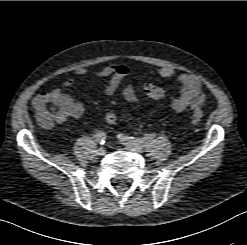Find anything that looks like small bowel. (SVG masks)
Instances as JSON below:
<instances>
[{"label": "small bowel", "instance_id": "small-bowel-1", "mask_svg": "<svg viewBox=\"0 0 247 245\" xmlns=\"http://www.w3.org/2000/svg\"><path fill=\"white\" fill-rule=\"evenodd\" d=\"M150 73L162 78L174 77L181 84V90L178 96L172 101V108L177 113H183L188 110L195 109L204 103L205 94L202 90V84L195 75L190 73H177V71L171 67L152 69L150 70ZM75 74L79 76L92 74L98 77H108L109 80L103 88L105 95H113L122 85V92L125 99L135 105L139 103V96L137 92L127 81L130 70L124 65L110 64L98 70L87 67H78L75 69ZM73 84L74 80L70 78L66 79L63 83L66 88L72 87ZM52 92L62 94L70 102L71 111L68 118L77 119L83 115L85 108L81 102L75 101L70 95L63 93L59 89L53 90ZM44 94L45 93H41L37 95L34 99V104L36 100Z\"/></svg>", "mask_w": 247, "mask_h": 245}]
</instances>
